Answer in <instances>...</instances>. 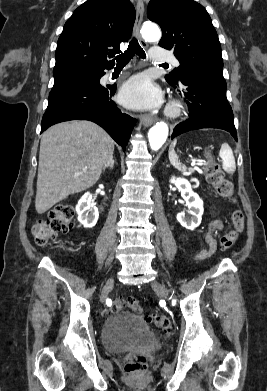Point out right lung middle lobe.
I'll list each match as a JSON object with an SVG mask.
<instances>
[{
  "label": "right lung middle lobe",
  "instance_id": "dd1d6c3e",
  "mask_svg": "<svg viewBox=\"0 0 267 391\" xmlns=\"http://www.w3.org/2000/svg\"><path fill=\"white\" fill-rule=\"evenodd\" d=\"M95 75L93 73H77V74H68V75H62L54 77V86L58 87L66 84H71L83 80H89L91 78H94Z\"/></svg>",
  "mask_w": 267,
  "mask_h": 391
}]
</instances>
